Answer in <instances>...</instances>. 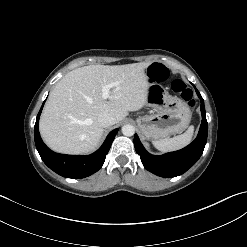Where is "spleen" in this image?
Wrapping results in <instances>:
<instances>
[{"instance_id": "3e777b00", "label": "spleen", "mask_w": 247, "mask_h": 247, "mask_svg": "<svg viewBox=\"0 0 247 247\" xmlns=\"http://www.w3.org/2000/svg\"><path fill=\"white\" fill-rule=\"evenodd\" d=\"M193 132H194V127L190 126L188 130L181 135L164 140H155L152 143L155 146V148L161 152H170V151L179 150L191 142Z\"/></svg>"}]
</instances>
